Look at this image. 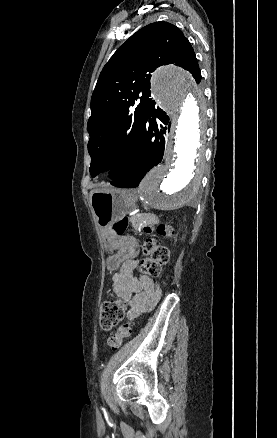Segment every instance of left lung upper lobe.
Segmentation results:
<instances>
[{"label":"left lung upper lobe","mask_w":277,"mask_h":438,"mask_svg":"<svg viewBox=\"0 0 277 438\" xmlns=\"http://www.w3.org/2000/svg\"><path fill=\"white\" fill-rule=\"evenodd\" d=\"M164 64L180 66L192 73L197 83L201 81L190 42L178 27L163 21L151 23L134 33L105 64L92 94L87 126L91 176L95 177L109 167L120 150H123V157L113 171L112 180L128 167L151 102L150 73ZM140 92V103L135 105Z\"/></svg>","instance_id":"1"}]
</instances>
